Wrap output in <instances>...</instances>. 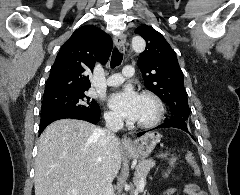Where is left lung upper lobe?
<instances>
[{
	"mask_svg": "<svg viewBox=\"0 0 240 195\" xmlns=\"http://www.w3.org/2000/svg\"><path fill=\"white\" fill-rule=\"evenodd\" d=\"M135 33L146 41V49L137 62L145 87L170 107L171 118L165 122L189 126L190 110L176 53L163 35L148 25L138 27Z\"/></svg>",
	"mask_w": 240,
	"mask_h": 195,
	"instance_id": "left-lung-upper-lobe-1",
	"label": "left lung upper lobe"
}]
</instances>
